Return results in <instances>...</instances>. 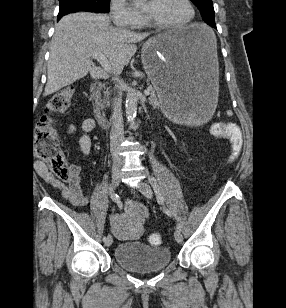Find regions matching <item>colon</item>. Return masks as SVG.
Instances as JSON below:
<instances>
[{"label": "colon", "instance_id": "5ec220e1", "mask_svg": "<svg viewBox=\"0 0 286 308\" xmlns=\"http://www.w3.org/2000/svg\"><path fill=\"white\" fill-rule=\"evenodd\" d=\"M74 90L66 87L56 92L48 101L45 114L40 118L34 129V143L36 154L44 160L51 173L60 180L70 179L72 172L67 164L57 140L55 115L65 113L72 101ZM212 132L216 136H229V125L225 123H215L212 125ZM232 152L230 160H236L241 152L242 140L235 138L230 140ZM148 242L153 246L162 243V236L152 233L148 237Z\"/></svg>", "mask_w": 286, "mask_h": 308}]
</instances>
